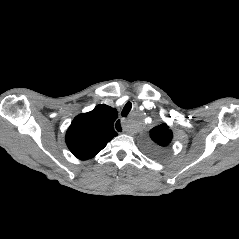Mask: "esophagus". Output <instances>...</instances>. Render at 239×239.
Masks as SVG:
<instances>
[{"label": "esophagus", "mask_w": 239, "mask_h": 239, "mask_svg": "<svg viewBox=\"0 0 239 239\" xmlns=\"http://www.w3.org/2000/svg\"><path fill=\"white\" fill-rule=\"evenodd\" d=\"M114 126H115L116 129L118 130V133H119V134H122V133H123V130H122L121 125H120V120L117 121V122H115V123H114Z\"/></svg>", "instance_id": "34e87169"}]
</instances>
